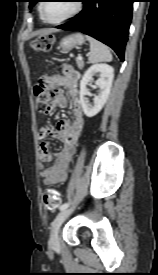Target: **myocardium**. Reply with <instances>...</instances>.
<instances>
[{
  "label": "myocardium",
  "mask_w": 158,
  "mask_h": 275,
  "mask_svg": "<svg viewBox=\"0 0 158 275\" xmlns=\"http://www.w3.org/2000/svg\"><path fill=\"white\" fill-rule=\"evenodd\" d=\"M44 4L45 2H42L40 3L39 5V14H40V17L41 19L45 22V23H48V24H52V25H57V24H61L73 17H75L77 14H79L82 10V7H83V3L81 0H76L75 1V6H74V9L72 10L71 13H69L67 16L57 20V21H50L48 19H46V17L44 16V13H43V7H44Z\"/></svg>",
  "instance_id": "1"
}]
</instances>
